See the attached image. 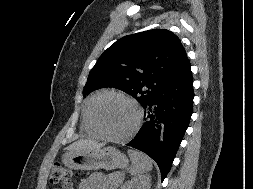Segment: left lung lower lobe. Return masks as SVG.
Masks as SVG:
<instances>
[{"instance_id": "1", "label": "left lung lower lobe", "mask_w": 253, "mask_h": 189, "mask_svg": "<svg viewBox=\"0 0 253 189\" xmlns=\"http://www.w3.org/2000/svg\"><path fill=\"white\" fill-rule=\"evenodd\" d=\"M192 82L191 65L186 59L177 74L143 106L146 122L127 144L156 161L162 180L171 168L193 112Z\"/></svg>"}]
</instances>
